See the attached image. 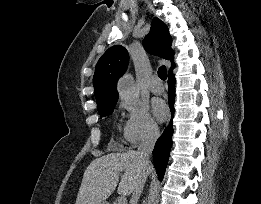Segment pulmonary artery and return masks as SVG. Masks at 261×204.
Masks as SVG:
<instances>
[{
    "label": "pulmonary artery",
    "instance_id": "obj_1",
    "mask_svg": "<svg viewBox=\"0 0 261 204\" xmlns=\"http://www.w3.org/2000/svg\"><path fill=\"white\" fill-rule=\"evenodd\" d=\"M150 90L155 94H161L164 91V86L157 76H154L150 81Z\"/></svg>",
    "mask_w": 261,
    "mask_h": 204
}]
</instances>
